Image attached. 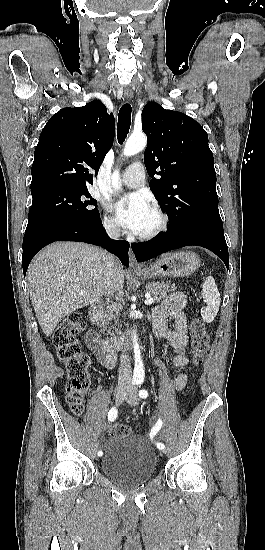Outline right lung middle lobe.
Masks as SVG:
<instances>
[{"mask_svg": "<svg viewBox=\"0 0 265 550\" xmlns=\"http://www.w3.org/2000/svg\"><path fill=\"white\" fill-rule=\"evenodd\" d=\"M33 197L25 232L61 221H95L100 218L97 201L88 190L57 186L31 189Z\"/></svg>", "mask_w": 265, "mask_h": 550, "instance_id": "dd1d6c3e", "label": "right lung middle lobe"}]
</instances>
